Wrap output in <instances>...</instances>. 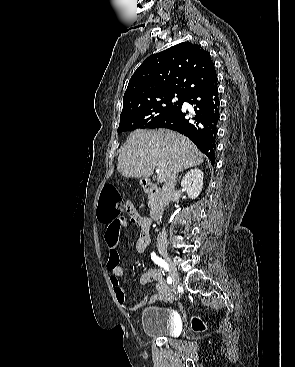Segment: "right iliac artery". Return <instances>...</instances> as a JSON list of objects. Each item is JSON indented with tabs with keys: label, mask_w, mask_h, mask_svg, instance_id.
<instances>
[{
	"label": "right iliac artery",
	"mask_w": 295,
	"mask_h": 367,
	"mask_svg": "<svg viewBox=\"0 0 295 367\" xmlns=\"http://www.w3.org/2000/svg\"><path fill=\"white\" fill-rule=\"evenodd\" d=\"M151 259L154 261V263H156L158 266L162 267L164 270H166V271L170 270L168 264L163 259L158 257L155 252L151 253ZM167 283L168 284L172 283V278L170 276L167 277Z\"/></svg>",
	"instance_id": "82829eb1"
}]
</instances>
